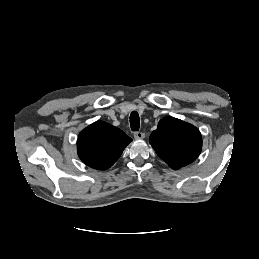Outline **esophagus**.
I'll use <instances>...</instances> for the list:
<instances>
[{
    "instance_id": "obj_1",
    "label": "esophagus",
    "mask_w": 259,
    "mask_h": 259,
    "mask_svg": "<svg viewBox=\"0 0 259 259\" xmlns=\"http://www.w3.org/2000/svg\"><path fill=\"white\" fill-rule=\"evenodd\" d=\"M145 137V134L143 132H140V131H136L134 132V138L136 140H141Z\"/></svg>"
}]
</instances>
